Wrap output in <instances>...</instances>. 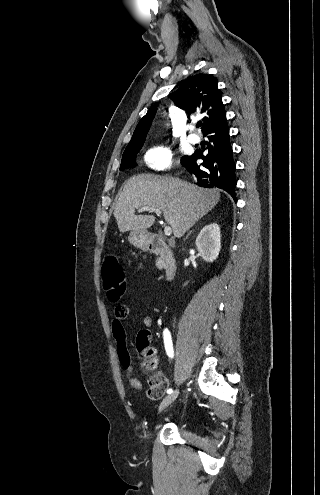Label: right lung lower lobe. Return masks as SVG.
I'll list each match as a JSON object with an SVG mask.
<instances>
[{"instance_id": "98d812e1", "label": "right lung lower lobe", "mask_w": 320, "mask_h": 495, "mask_svg": "<svg viewBox=\"0 0 320 495\" xmlns=\"http://www.w3.org/2000/svg\"><path fill=\"white\" fill-rule=\"evenodd\" d=\"M209 140L207 142L208 154L196 151L191 156H186L181 164L187 171L198 179V184L207 188H221L235 198V162L232 157L227 119L216 126L203 132ZM197 159L204 162L198 165Z\"/></svg>"}]
</instances>
